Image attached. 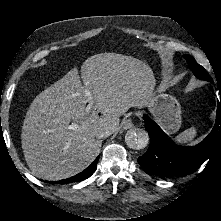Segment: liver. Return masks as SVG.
<instances>
[{"instance_id": "1", "label": "liver", "mask_w": 221, "mask_h": 221, "mask_svg": "<svg viewBox=\"0 0 221 221\" xmlns=\"http://www.w3.org/2000/svg\"><path fill=\"white\" fill-rule=\"evenodd\" d=\"M78 70L42 91L30 105L22 126L21 144L31 173L55 181L86 168L99 154L100 128L117 131L129 108L141 106L154 91L151 68L141 60L116 53L89 57ZM84 89L92 95V111ZM101 113V116L98 113ZM74 121L78 128L69 130Z\"/></svg>"}]
</instances>
